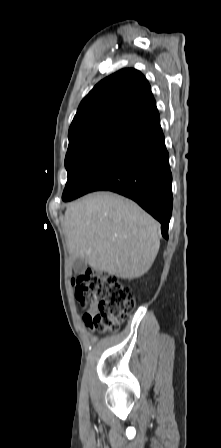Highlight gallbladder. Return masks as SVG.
I'll use <instances>...</instances> for the list:
<instances>
[{
    "label": "gallbladder",
    "mask_w": 221,
    "mask_h": 448,
    "mask_svg": "<svg viewBox=\"0 0 221 448\" xmlns=\"http://www.w3.org/2000/svg\"><path fill=\"white\" fill-rule=\"evenodd\" d=\"M86 267H87V264L84 259L76 258L73 261V268L76 272H82L86 269Z\"/></svg>",
    "instance_id": "bac80fb5"
}]
</instances>
